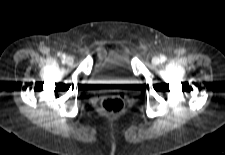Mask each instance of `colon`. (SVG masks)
Returning <instances> with one entry per match:
<instances>
[{"mask_svg":"<svg viewBox=\"0 0 225 155\" xmlns=\"http://www.w3.org/2000/svg\"><path fill=\"white\" fill-rule=\"evenodd\" d=\"M101 110L108 115H119L125 109V100L121 95L112 94L99 100Z\"/></svg>","mask_w":225,"mask_h":155,"instance_id":"obj_1","label":"colon"}]
</instances>
